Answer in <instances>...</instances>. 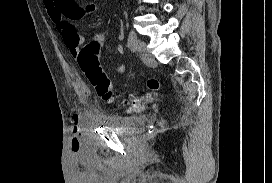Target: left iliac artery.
<instances>
[{"label":"left iliac artery","mask_w":272,"mask_h":183,"mask_svg":"<svg viewBox=\"0 0 272 183\" xmlns=\"http://www.w3.org/2000/svg\"><path fill=\"white\" fill-rule=\"evenodd\" d=\"M128 47L132 52L137 49V35L134 30H131L128 35Z\"/></svg>","instance_id":"1"}]
</instances>
